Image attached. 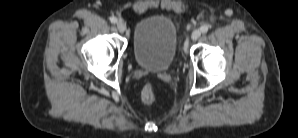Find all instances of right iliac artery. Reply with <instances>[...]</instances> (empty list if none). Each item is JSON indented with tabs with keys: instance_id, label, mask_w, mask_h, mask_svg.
<instances>
[{
	"instance_id": "right-iliac-artery-1",
	"label": "right iliac artery",
	"mask_w": 298,
	"mask_h": 138,
	"mask_svg": "<svg viewBox=\"0 0 298 138\" xmlns=\"http://www.w3.org/2000/svg\"><path fill=\"white\" fill-rule=\"evenodd\" d=\"M110 21H111V23L115 24L117 22V18L116 17H111Z\"/></svg>"
}]
</instances>
